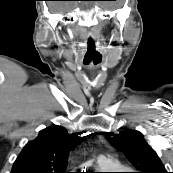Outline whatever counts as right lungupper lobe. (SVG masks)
Returning <instances> with one entry per match:
<instances>
[{
    "label": "right lung upper lobe",
    "mask_w": 173,
    "mask_h": 173,
    "mask_svg": "<svg viewBox=\"0 0 173 173\" xmlns=\"http://www.w3.org/2000/svg\"><path fill=\"white\" fill-rule=\"evenodd\" d=\"M79 142L78 134L69 135L61 126L45 128L25 145L11 173H66L68 153Z\"/></svg>",
    "instance_id": "right-lung-upper-lobe-1"
}]
</instances>
